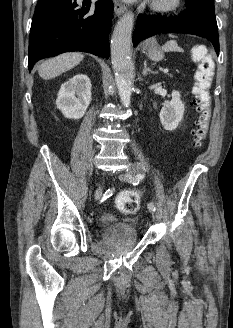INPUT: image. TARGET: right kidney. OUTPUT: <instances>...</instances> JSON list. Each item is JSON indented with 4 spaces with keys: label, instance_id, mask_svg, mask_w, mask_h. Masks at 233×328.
Here are the masks:
<instances>
[{
    "label": "right kidney",
    "instance_id": "obj_1",
    "mask_svg": "<svg viewBox=\"0 0 233 328\" xmlns=\"http://www.w3.org/2000/svg\"><path fill=\"white\" fill-rule=\"evenodd\" d=\"M91 82L87 75L77 74L61 85L57 108L66 118L80 119L91 102Z\"/></svg>",
    "mask_w": 233,
    "mask_h": 328
}]
</instances>
